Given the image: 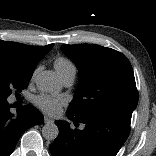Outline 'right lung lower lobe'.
<instances>
[{"label":"right lung lower lobe","instance_id":"1","mask_svg":"<svg viewBox=\"0 0 156 156\" xmlns=\"http://www.w3.org/2000/svg\"><path fill=\"white\" fill-rule=\"evenodd\" d=\"M9 108L7 98L0 97V156H9L21 134L44 121L41 112L31 105L19 108L15 117Z\"/></svg>","mask_w":156,"mask_h":156}]
</instances>
